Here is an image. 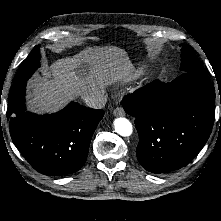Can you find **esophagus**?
Here are the masks:
<instances>
[{
    "mask_svg": "<svg viewBox=\"0 0 221 221\" xmlns=\"http://www.w3.org/2000/svg\"><path fill=\"white\" fill-rule=\"evenodd\" d=\"M113 114H114V116H124L125 111L123 108L117 107L116 109H114Z\"/></svg>",
    "mask_w": 221,
    "mask_h": 221,
    "instance_id": "1",
    "label": "esophagus"
}]
</instances>
